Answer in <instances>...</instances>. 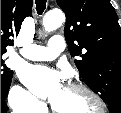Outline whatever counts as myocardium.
<instances>
[{
	"instance_id": "1",
	"label": "myocardium",
	"mask_w": 121,
	"mask_h": 113,
	"mask_svg": "<svg viewBox=\"0 0 121 113\" xmlns=\"http://www.w3.org/2000/svg\"><path fill=\"white\" fill-rule=\"evenodd\" d=\"M66 87L71 89V90L78 91V92H81V93L85 94L89 99H91L93 102H95V104L98 107V110H97V112H94V113H103V112H105L106 103L104 102V100L97 93H95L88 86H86L84 84H81V83H69ZM51 109L55 113H63V112H59L55 108V106L53 104L51 105Z\"/></svg>"
}]
</instances>
